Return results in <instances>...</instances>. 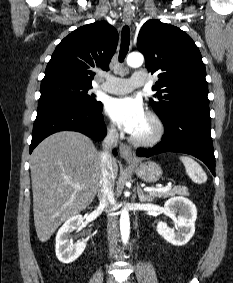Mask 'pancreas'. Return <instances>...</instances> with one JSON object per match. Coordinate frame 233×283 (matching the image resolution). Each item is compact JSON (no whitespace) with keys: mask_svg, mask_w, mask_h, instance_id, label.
<instances>
[{"mask_svg":"<svg viewBox=\"0 0 233 283\" xmlns=\"http://www.w3.org/2000/svg\"><path fill=\"white\" fill-rule=\"evenodd\" d=\"M175 195L188 196L189 195L188 189L186 187H177L166 192H149V197L151 198V200H153V198L155 197L167 198V197H174Z\"/></svg>","mask_w":233,"mask_h":283,"instance_id":"pancreas-1","label":"pancreas"}]
</instances>
